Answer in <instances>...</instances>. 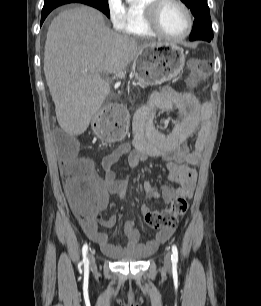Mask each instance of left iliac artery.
I'll list each match as a JSON object with an SVG mask.
<instances>
[{
    "label": "left iliac artery",
    "instance_id": "44dca946",
    "mask_svg": "<svg viewBox=\"0 0 261 306\" xmlns=\"http://www.w3.org/2000/svg\"><path fill=\"white\" fill-rule=\"evenodd\" d=\"M171 260H172L173 264H176L178 262V249H177L176 245L172 246Z\"/></svg>",
    "mask_w": 261,
    "mask_h": 306
}]
</instances>
